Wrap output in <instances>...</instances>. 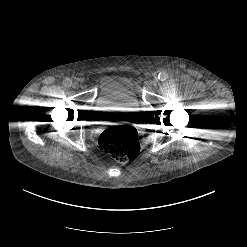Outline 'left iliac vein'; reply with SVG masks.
<instances>
[{"label":"left iliac vein","mask_w":247,"mask_h":247,"mask_svg":"<svg viewBox=\"0 0 247 247\" xmlns=\"http://www.w3.org/2000/svg\"><path fill=\"white\" fill-rule=\"evenodd\" d=\"M158 83V79L157 78H154L152 81H151V85L153 86H156Z\"/></svg>","instance_id":"4c4485c4"}]
</instances>
